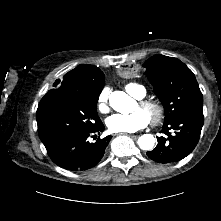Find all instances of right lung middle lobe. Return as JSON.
<instances>
[{
  "instance_id": "right-lung-middle-lobe-1",
  "label": "right lung middle lobe",
  "mask_w": 221,
  "mask_h": 221,
  "mask_svg": "<svg viewBox=\"0 0 221 221\" xmlns=\"http://www.w3.org/2000/svg\"><path fill=\"white\" fill-rule=\"evenodd\" d=\"M101 90L85 95H45L38 106V134L47 152L100 123L96 103Z\"/></svg>"
}]
</instances>
